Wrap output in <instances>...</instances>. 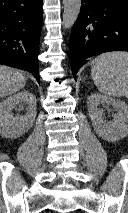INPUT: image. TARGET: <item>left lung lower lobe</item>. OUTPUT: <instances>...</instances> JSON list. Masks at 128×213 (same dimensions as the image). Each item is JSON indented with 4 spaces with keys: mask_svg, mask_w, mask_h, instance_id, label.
Segmentation results:
<instances>
[{
    "mask_svg": "<svg viewBox=\"0 0 128 213\" xmlns=\"http://www.w3.org/2000/svg\"><path fill=\"white\" fill-rule=\"evenodd\" d=\"M69 50L74 78L85 59L109 51H128V0H82Z\"/></svg>",
    "mask_w": 128,
    "mask_h": 213,
    "instance_id": "left-lung-lower-lobe-1",
    "label": "left lung lower lobe"
}]
</instances>
